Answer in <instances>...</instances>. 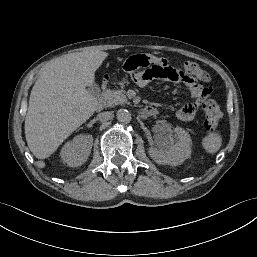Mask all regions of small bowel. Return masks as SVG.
<instances>
[{
    "instance_id": "c3829d8e",
    "label": "small bowel",
    "mask_w": 257,
    "mask_h": 257,
    "mask_svg": "<svg viewBox=\"0 0 257 257\" xmlns=\"http://www.w3.org/2000/svg\"><path fill=\"white\" fill-rule=\"evenodd\" d=\"M165 61L142 52L128 56L123 62V69L138 88L147 87L152 80L162 79L174 83L178 88L190 90L194 101L183 105L175 115L181 121H192L196 117L200 100L207 98L210 91L198 85L193 75Z\"/></svg>"
}]
</instances>
